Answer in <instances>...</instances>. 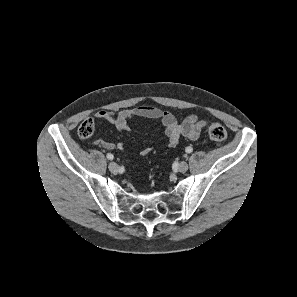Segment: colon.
I'll list each match as a JSON object with an SVG mask.
<instances>
[{
    "instance_id": "obj_1",
    "label": "colon",
    "mask_w": 297,
    "mask_h": 297,
    "mask_svg": "<svg viewBox=\"0 0 297 297\" xmlns=\"http://www.w3.org/2000/svg\"><path fill=\"white\" fill-rule=\"evenodd\" d=\"M95 123L92 119L84 120L78 129V134L82 139H88L94 135ZM207 133L209 138L218 146L226 140L227 131L226 129L217 122L210 123L207 126ZM122 166L127 167L130 164L129 159L124 158L121 161Z\"/></svg>"
}]
</instances>
